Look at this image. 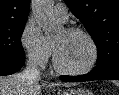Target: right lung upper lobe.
Returning <instances> with one entry per match:
<instances>
[{"label":"right lung upper lobe","mask_w":119,"mask_h":95,"mask_svg":"<svg viewBox=\"0 0 119 95\" xmlns=\"http://www.w3.org/2000/svg\"><path fill=\"white\" fill-rule=\"evenodd\" d=\"M30 0H0V26L26 21Z\"/></svg>","instance_id":"obj_1"}]
</instances>
